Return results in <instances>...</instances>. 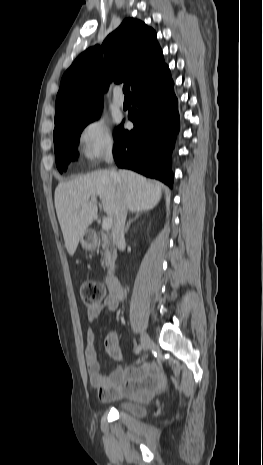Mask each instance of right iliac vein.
<instances>
[{"instance_id":"1","label":"right iliac vein","mask_w":263,"mask_h":465,"mask_svg":"<svg viewBox=\"0 0 263 465\" xmlns=\"http://www.w3.org/2000/svg\"><path fill=\"white\" fill-rule=\"evenodd\" d=\"M141 346L143 351H147L151 346V339L146 332L141 334Z\"/></svg>"}]
</instances>
